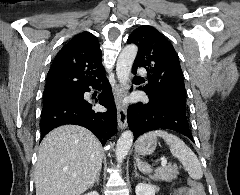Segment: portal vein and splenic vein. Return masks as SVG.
<instances>
[{"label":"portal vein and splenic vein","mask_w":240,"mask_h":195,"mask_svg":"<svg viewBox=\"0 0 240 195\" xmlns=\"http://www.w3.org/2000/svg\"><path fill=\"white\" fill-rule=\"evenodd\" d=\"M167 159H161V165H166Z\"/></svg>","instance_id":"portal-vein-and-splenic-vein-1"}]
</instances>
